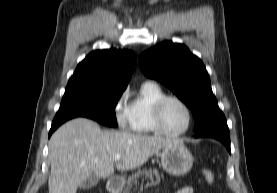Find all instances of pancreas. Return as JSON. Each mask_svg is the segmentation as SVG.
<instances>
[{"label": "pancreas", "mask_w": 277, "mask_h": 193, "mask_svg": "<svg viewBox=\"0 0 277 193\" xmlns=\"http://www.w3.org/2000/svg\"><path fill=\"white\" fill-rule=\"evenodd\" d=\"M140 177L142 178V181L148 180L150 184H158L160 179L163 178V174H160L157 169H138L137 172L128 177L124 193H127L133 184H137V180Z\"/></svg>", "instance_id": "pancreas-1"}]
</instances>
